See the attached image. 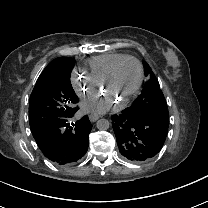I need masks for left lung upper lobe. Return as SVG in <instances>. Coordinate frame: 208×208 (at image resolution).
Instances as JSON below:
<instances>
[{
  "label": "left lung upper lobe",
  "instance_id": "5c2ea615",
  "mask_svg": "<svg viewBox=\"0 0 208 208\" xmlns=\"http://www.w3.org/2000/svg\"><path fill=\"white\" fill-rule=\"evenodd\" d=\"M144 66L148 81L141 94L125 110L131 113H137L140 116H152L169 123L168 108L164 95L159 89V82L146 62H144Z\"/></svg>",
  "mask_w": 208,
  "mask_h": 208
}]
</instances>
